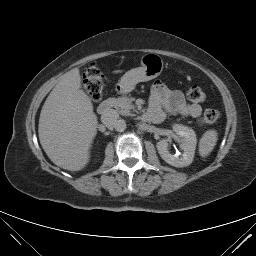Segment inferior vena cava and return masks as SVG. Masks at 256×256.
Returning <instances> with one entry per match:
<instances>
[{"label": "inferior vena cava", "instance_id": "602c4592", "mask_svg": "<svg viewBox=\"0 0 256 256\" xmlns=\"http://www.w3.org/2000/svg\"><path fill=\"white\" fill-rule=\"evenodd\" d=\"M119 114L114 109H108L101 115L102 123L108 128H115Z\"/></svg>", "mask_w": 256, "mask_h": 256}]
</instances>
